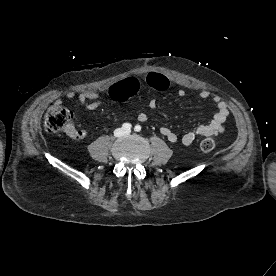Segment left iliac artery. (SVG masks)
Segmentation results:
<instances>
[{"label":"left iliac artery","mask_w":276,"mask_h":276,"mask_svg":"<svg viewBox=\"0 0 276 276\" xmlns=\"http://www.w3.org/2000/svg\"><path fill=\"white\" fill-rule=\"evenodd\" d=\"M134 130L136 132H140L141 131V126L140 125H136L135 128H134Z\"/></svg>","instance_id":"44dca946"}]
</instances>
